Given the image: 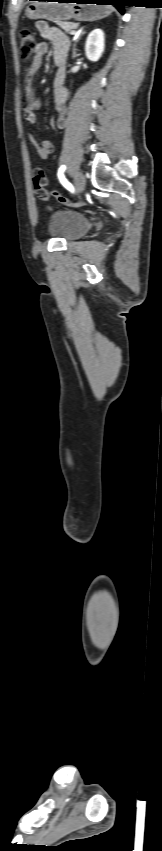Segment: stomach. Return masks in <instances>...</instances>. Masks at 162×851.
Returning a JSON list of instances; mask_svg holds the SVG:
<instances>
[{"label":"stomach","instance_id":"1","mask_svg":"<svg viewBox=\"0 0 162 851\" xmlns=\"http://www.w3.org/2000/svg\"><path fill=\"white\" fill-rule=\"evenodd\" d=\"M66 2L68 3L31 2L25 9V15L34 20L66 21L75 19L77 21H95L107 17L110 13L108 6L89 4L83 0Z\"/></svg>","mask_w":162,"mask_h":851}]
</instances>
